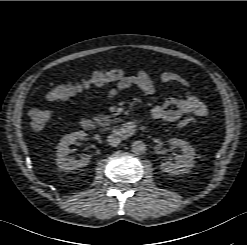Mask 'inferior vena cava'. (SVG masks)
<instances>
[{"label":"inferior vena cava","instance_id":"602c4592","mask_svg":"<svg viewBox=\"0 0 247 245\" xmlns=\"http://www.w3.org/2000/svg\"><path fill=\"white\" fill-rule=\"evenodd\" d=\"M121 140L119 137L115 136V135H109L108 136V143L111 145V146H118L120 144Z\"/></svg>","mask_w":247,"mask_h":245}]
</instances>
